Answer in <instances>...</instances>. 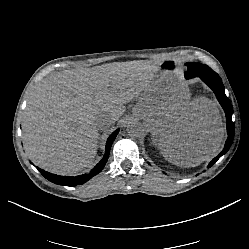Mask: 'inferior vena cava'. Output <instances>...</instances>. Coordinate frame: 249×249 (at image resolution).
I'll return each mask as SVG.
<instances>
[{
    "instance_id": "inferior-vena-cava-1",
    "label": "inferior vena cava",
    "mask_w": 249,
    "mask_h": 249,
    "mask_svg": "<svg viewBox=\"0 0 249 249\" xmlns=\"http://www.w3.org/2000/svg\"><path fill=\"white\" fill-rule=\"evenodd\" d=\"M95 123L98 129L105 130L112 125L113 119L107 114H102L95 120Z\"/></svg>"
}]
</instances>
